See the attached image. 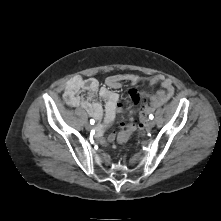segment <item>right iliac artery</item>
Returning a JSON list of instances; mask_svg holds the SVG:
<instances>
[{
  "label": "right iliac artery",
  "mask_w": 221,
  "mask_h": 221,
  "mask_svg": "<svg viewBox=\"0 0 221 221\" xmlns=\"http://www.w3.org/2000/svg\"><path fill=\"white\" fill-rule=\"evenodd\" d=\"M95 123L94 119L90 120V124L93 125Z\"/></svg>",
  "instance_id": "1"
}]
</instances>
